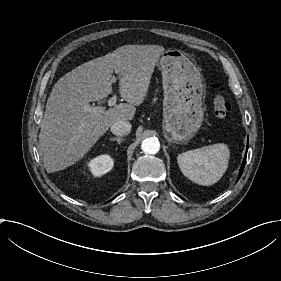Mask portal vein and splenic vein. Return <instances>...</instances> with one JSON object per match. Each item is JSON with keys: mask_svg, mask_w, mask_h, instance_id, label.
Instances as JSON below:
<instances>
[{"mask_svg": "<svg viewBox=\"0 0 281 281\" xmlns=\"http://www.w3.org/2000/svg\"><path fill=\"white\" fill-rule=\"evenodd\" d=\"M116 103V98L115 97H112L108 100L107 104L109 107H112L114 106ZM84 109L85 111L88 113V114H103L106 112V107L105 106H91L89 104H86L84 106Z\"/></svg>", "mask_w": 281, "mask_h": 281, "instance_id": "obj_1", "label": "portal vein and splenic vein"}]
</instances>
